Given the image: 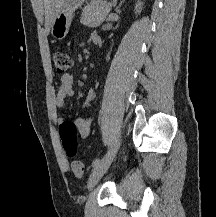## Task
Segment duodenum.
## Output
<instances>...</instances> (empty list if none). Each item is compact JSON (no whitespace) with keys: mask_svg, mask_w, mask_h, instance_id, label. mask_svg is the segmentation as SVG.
Here are the masks:
<instances>
[{"mask_svg":"<svg viewBox=\"0 0 216 217\" xmlns=\"http://www.w3.org/2000/svg\"><path fill=\"white\" fill-rule=\"evenodd\" d=\"M92 41H93L94 43H98V42L100 41L99 36H97V35L93 36Z\"/></svg>","mask_w":216,"mask_h":217,"instance_id":"1","label":"duodenum"}]
</instances>
